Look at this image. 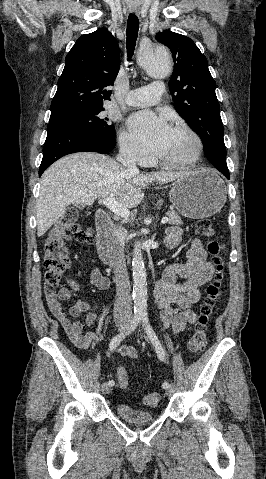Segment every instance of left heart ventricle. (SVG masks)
<instances>
[{
    "mask_svg": "<svg viewBox=\"0 0 266 479\" xmlns=\"http://www.w3.org/2000/svg\"><path fill=\"white\" fill-rule=\"evenodd\" d=\"M192 148L193 141L188 134L173 130L166 149L159 157L166 161L181 160L189 156Z\"/></svg>",
    "mask_w": 266,
    "mask_h": 479,
    "instance_id": "1",
    "label": "left heart ventricle"
}]
</instances>
